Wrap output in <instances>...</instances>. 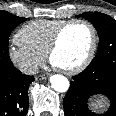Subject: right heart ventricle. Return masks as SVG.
Instances as JSON below:
<instances>
[{
	"mask_svg": "<svg viewBox=\"0 0 116 116\" xmlns=\"http://www.w3.org/2000/svg\"><path fill=\"white\" fill-rule=\"evenodd\" d=\"M66 20L38 19L23 25L16 34V39L32 51L45 55L51 39Z\"/></svg>",
	"mask_w": 116,
	"mask_h": 116,
	"instance_id": "right-heart-ventricle-1",
	"label": "right heart ventricle"
}]
</instances>
